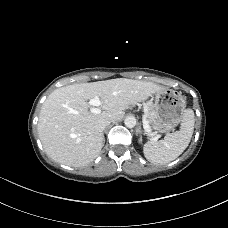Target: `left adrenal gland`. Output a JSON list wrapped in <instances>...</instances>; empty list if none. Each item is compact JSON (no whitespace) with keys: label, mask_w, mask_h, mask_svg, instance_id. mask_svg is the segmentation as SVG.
I'll return each mask as SVG.
<instances>
[{"label":"left adrenal gland","mask_w":228,"mask_h":228,"mask_svg":"<svg viewBox=\"0 0 228 228\" xmlns=\"http://www.w3.org/2000/svg\"><path fill=\"white\" fill-rule=\"evenodd\" d=\"M138 134H142L141 126H139V128L136 130V135Z\"/></svg>","instance_id":"obj_1"}]
</instances>
